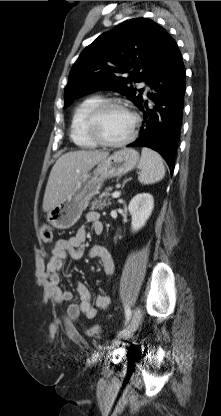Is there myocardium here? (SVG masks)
<instances>
[{"mask_svg":"<svg viewBox=\"0 0 221 416\" xmlns=\"http://www.w3.org/2000/svg\"><path fill=\"white\" fill-rule=\"evenodd\" d=\"M111 107H119L127 111L132 117V126L127 137L120 141H109L105 139L98 129V122L102 113ZM140 124V118L136 111L119 99H105L95 106L86 120V131L88 135L99 145L111 148H119L129 144L136 136Z\"/></svg>","mask_w":221,"mask_h":416,"instance_id":"1","label":"myocardium"}]
</instances>
